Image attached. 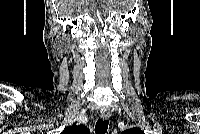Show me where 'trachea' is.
<instances>
[{
  "label": "trachea",
  "mask_w": 200,
  "mask_h": 134,
  "mask_svg": "<svg viewBox=\"0 0 200 134\" xmlns=\"http://www.w3.org/2000/svg\"><path fill=\"white\" fill-rule=\"evenodd\" d=\"M108 120L99 119L95 125V132L96 134H105L108 129Z\"/></svg>",
  "instance_id": "trachea-1"
}]
</instances>
